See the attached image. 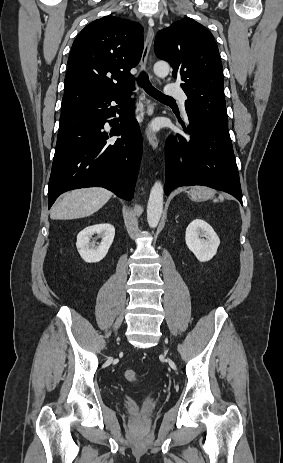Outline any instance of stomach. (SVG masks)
<instances>
[{
    "label": "stomach",
    "mask_w": 283,
    "mask_h": 463,
    "mask_svg": "<svg viewBox=\"0 0 283 463\" xmlns=\"http://www.w3.org/2000/svg\"><path fill=\"white\" fill-rule=\"evenodd\" d=\"M193 200H206L209 197V189L205 187H194L188 191Z\"/></svg>",
    "instance_id": "1"
}]
</instances>
